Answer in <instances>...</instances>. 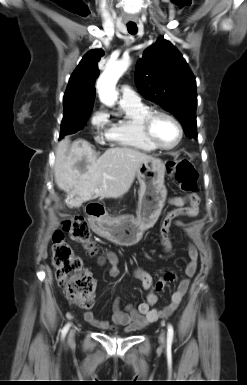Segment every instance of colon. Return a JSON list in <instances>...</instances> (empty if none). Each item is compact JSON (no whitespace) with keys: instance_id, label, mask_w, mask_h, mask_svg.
<instances>
[{"instance_id":"1","label":"colon","mask_w":247,"mask_h":385,"mask_svg":"<svg viewBox=\"0 0 247 385\" xmlns=\"http://www.w3.org/2000/svg\"><path fill=\"white\" fill-rule=\"evenodd\" d=\"M167 173L178 183L180 189L194 196L197 189L198 173L193 163L187 159H178L167 163ZM184 211L175 209L165 217L160 234L162 241L168 245L169 229L172 222ZM68 234L71 239L85 245L90 254L97 252L91 240L90 230L83 217L75 215L62 221L52 241V262L56 271V279L66 297L80 307L89 309L94 304L95 281L91 274L83 268L81 259L64 240Z\"/></svg>"}]
</instances>
